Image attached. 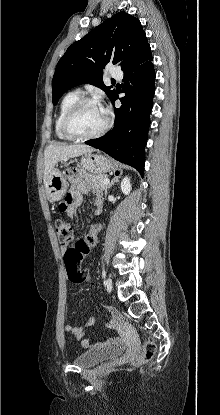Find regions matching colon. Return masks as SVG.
Segmentation results:
<instances>
[{
    "label": "colon",
    "instance_id": "5ec220e1",
    "mask_svg": "<svg viewBox=\"0 0 220 415\" xmlns=\"http://www.w3.org/2000/svg\"><path fill=\"white\" fill-rule=\"evenodd\" d=\"M64 207L65 204L63 203ZM55 231L59 242L66 246L64 260L69 280L79 284L89 278L88 272L81 268V261L90 251L85 240L79 239L73 242V231L68 220L58 219L55 222ZM156 352V344L152 339L145 342L142 353L133 360L134 365H141L151 360Z\"/></svg>",
    "mask_w": 220,
    "mask_h": 415
}]
</instances>
